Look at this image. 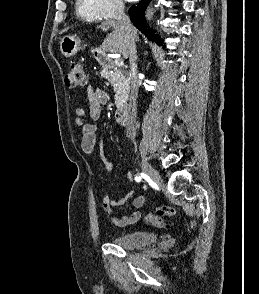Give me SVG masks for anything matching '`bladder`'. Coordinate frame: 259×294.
Wrapping results in <instances>:
<instances>
[{"mask_svg": "<svg viewBox=\"0 0 259 294\" xmlns=\"http://www.w3.org/2000/svg\"><path fill=\"white\" fill-rule=\"evenodd\" d=\"M157 239L153 232H130L113 238L112 243L123 249H138L154 244Z\"/></svg>", "mask_w": 259, "mask_h": 294, "instance_id": "obj_1", "label": "bladder"}]
</instances>
